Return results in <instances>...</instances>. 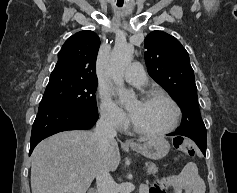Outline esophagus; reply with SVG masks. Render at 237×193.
Instances as JSON below:
<instances>
[{
    "label": "esophagus",
    "instance_id": "1",
    "mask_svg": "<svg viewBox=\"0 0 237 193\" xmlns=\"http://www.w3.org/2000/svg\"><path fill=\"white\" fill-rule=\"evenodd\" d=\"M126 144H132L130 140H126Z\"/></svg>",
    "mask_w": 237,
    "mask_h": 193
}]
</instances>
